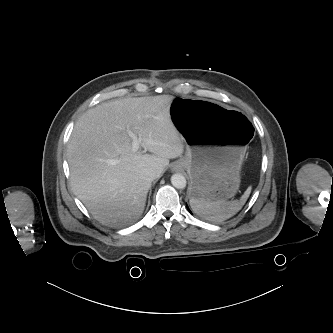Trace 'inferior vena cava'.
I'll return each mask as SVG.
<instances>
[{
  "label": "inferior vena cava",
  "mask_w": 333,
  "mask_h": 333,
  "mask_svg": "<svg viewBox=\"0 0 333 333\" xmlns=\"http://www.w3.org/2000/svg\"><path fill=\"white\" fill-rule=\"evenodd\" d=\"M158 172L152 169H144L143 171H141L140 173V177L143 180H147V181H153L157 176H158Z\"/></svg>",
  "instance_id": "obj_1"
}]
</instances>
